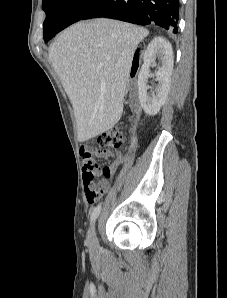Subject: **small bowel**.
<instances>
[{
  "mask_svg": "<svg viewBox=\"0 0 227 298\" xmlns=\"http://www.w3.org/2000/svg\"><path fill=\"white\" fill-rule=\"evenodd\" d=\"M135 111L139 112L140 108L135 105ZM81 147V158L83 161V183L85 191L87 189L94 188L98 191L99 197L105 194L109 189V182L107 180L100 181L97 185L94 184V176L102 175L105 178H110L114 175L119 166L123 163V157L120 155L116 156L115 162L110 166L99 167L93 160V158L99 157L104 158L111 155V152L105 149H99L98 146H88L87 142H80Z\"/></svg>",
  "mask_w": 227,
  "mask_h": 298,
  "instance_id": "small-bowel-1",
  "label": "small bowel"
}]
</instances>
